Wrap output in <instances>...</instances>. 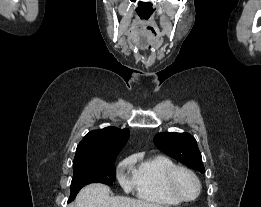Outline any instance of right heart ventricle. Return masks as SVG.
<instances>
[{
	"instance_id": "obj_1",
	"label": "right heart ventricle",
	"mask_w": 261,
	"mask_h": 207,
	"mask_svg": "<svg viewBox=\"0 0 261 207\" xmlns=\"http://www.w3.org/2000/svg\"><path fill=\"white\" fill-rule=\"evenodd\" d=\"M134 167L135 190L141 200L166 206L180 204L167 190L165 177L176 164L164 155L139 156L130 158Z\"/></svg>"
}]
</instances>
